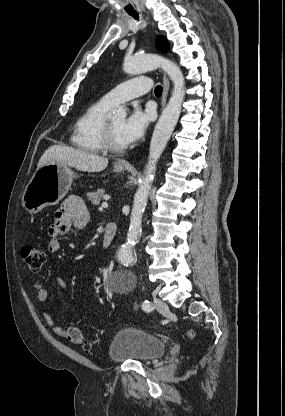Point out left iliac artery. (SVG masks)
<instances>
[{
  "label": "left iliac artery",
  "mask_w": 285,
  "mask_h": 416,
  "mask_svg": "<svg viewBox=\"0 0 285 416\" xmlns=\"http://www.w3.org/2000/svg\"><path fill=\"white\" fill-rule=\"evenodd\" d=\"M142 309L146 312H150L153 310V307L151 306V303L148 300H144L142 303Z\"/></svg>",
  "instance_id": "obj_1"
}]
</instances>
